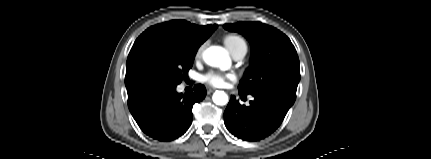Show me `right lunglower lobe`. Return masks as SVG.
Returning a JSON list of instances; mask_svg holds the SVG:
<instances>
[{
  "label": "right lung lower lobe",
  "mask_w": 431,
  "mask_h": 159,
  "mask_svg": "<svg viewBox=\"0 0 431 159\" xmlns=\"http://www.w3.org/2000/svg\"><path fill=\"white\" fill-rule=\"evenodd\" d=\"M177 85L152 84L142 86L128 95L129 110L140 129L158 141H172L182 136L193 119L192 107L206 96L203 85L194 92H176Z\"/></svg>",
  "instance_id": "98d812e1"
}]
</instances>
